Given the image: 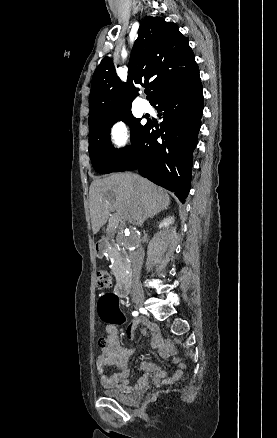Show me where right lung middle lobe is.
<instances>
[{"mask_svg":"<svg viewBox=\"0 0 277 438\" xmlns=\"http://www.w3.org/2000/svg\"><path fill=\"white\" fill-rule=\"evenodd\" d=\"M122 120L130 126L131 146L115 149L110 141L112 125ZM132 114L115 117L107 122L89 125V155L94 169L102 174L113 172L132 152L145 125Z\"/></svg>","mask_w":277,"mask_h":438,"instance_id":"obj_1","label":"right lung middle lobe"}]
</instances>
